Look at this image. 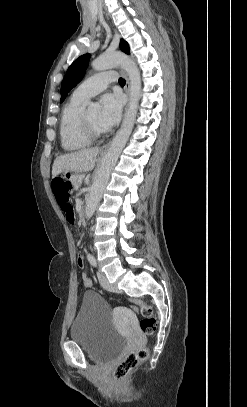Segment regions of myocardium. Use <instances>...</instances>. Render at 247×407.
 Listing matches in <instances>:
<instances>
[{
    "mask_svg": "<svg viewBox=\"0 0 247 407\" xmlns=\"http://www.w3.org/2000/svg\"><path fill=\"white\" fill-rule=\"evenodd\" d=\"M80 126L84 135L90 140H96L107 133L106 129L99 130L93 127L88 121L84 111H82L80 116Z\"/></svg>",
    "mask_w": 247,
    "mask_h": 407,
    "instance_id": "f54148a6",
    "label": "myocardium"
}]
</instances>
